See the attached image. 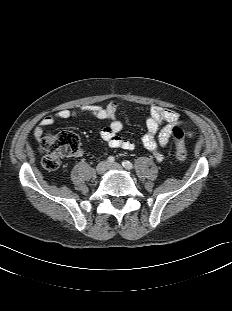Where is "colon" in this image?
Wrapping results in <instances>:
<instances>
[{"instance_id":"1","label":"colon","mask_w":232,"mask_h":311,"mask_svg":"<svg viewBox=\"0 0 232 311\" xmlns=\"http://www.w3.org/2000/svg\"><path fill=\"white\" fill-rule=\"evenodd\" d=\"M172 137L175 147V154L179 160L187 157V148L184 143V132L180 127L172 128ZM79 147L78 136L69 131H62L57 134L43 137L40 141V148L43 152L42 164L47 170H56L62 161L73 155Z\"/></svg>"}]
</instances>
